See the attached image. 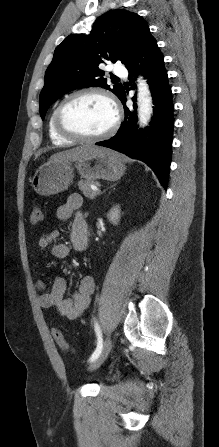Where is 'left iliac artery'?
I'll return each instance as SVG.
<instances>
[{
    "mask_svg": "<svg viewBox=\"0 0 219 447\" xmlns=\"http://www.w3.org/2000/svg\"><path fill=\"white\" fill-rule=\"evenodd\" d=\"M94 329H95L96 336H97V347L89 359L90 362H93L99 356L102 346H103L102 333H101L100 327L96 321L94 323Z\"/></svg>",
    "mask_w": 219,
    "mask_h": 447,
    "instance_id": "1",
    "label": "left iliac artery"
}]
</instances>
